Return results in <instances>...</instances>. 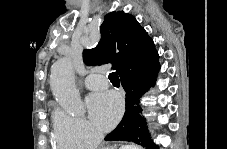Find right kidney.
<instances>
[{
    "instance_id": "obj_1",
    "label": "right kidney",
    "mask_w": 227,
    "mask_h": 149,
    "mask_svg": "<svg viewBox=\"0 0 227 149\" xmlns=\"http://www.w3.org/2000/svg\"><path fill=\"white\" fill-rule=\"evenodd\" d=\"M126 149H132V147H130V146H127V147H126Z\"/></svg>"
}]
</instances>
